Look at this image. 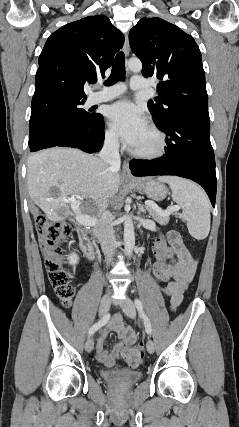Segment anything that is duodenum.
I'll return each instance as SVG.
<instances>
[{
	"instance_id": "1",
	"label": "duodenum",
	"mask_w": 239,
	"mask_h": 427,
	"mask_svg": "<svg viewBox=\"0 0 239 427\" xmlns=\"http://www.w3.org/2000/svg\"><path fill=\"white\" fill-rule=\"evenodd\" d=\"M77 233L82 251L88 260L94 262L96 260V251L88 233L82 227L77 229Z\"/></svg>"
}]
</instances>
